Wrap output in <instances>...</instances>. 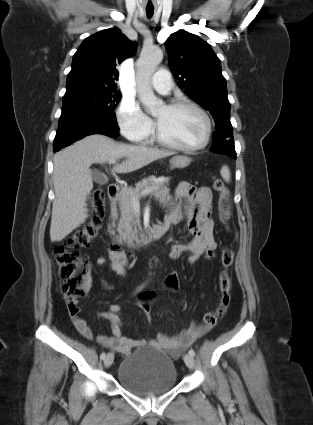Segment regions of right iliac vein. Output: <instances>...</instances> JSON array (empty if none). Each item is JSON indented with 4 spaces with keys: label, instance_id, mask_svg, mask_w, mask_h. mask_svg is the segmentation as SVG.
<instances>
[{
    "label": "right iliac vein",
    "instance_id": "1",
    "mask_svg": "<svg viewBox=\"0 0 313 425\" xmlns=\"http://www.w3.org/2000/svg\"><path fill=\"white\" fill-rule=\"evenodd\" d=\"M113 359H114L113 353L112 352H109L107 354V356L105 357V359H104V365H105V367H107V368L110 367L112 365V363H113Z\"/></svg>",
    "mask_w": 313,
    "mask_h": 425
}]
</instances>
